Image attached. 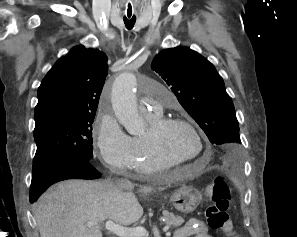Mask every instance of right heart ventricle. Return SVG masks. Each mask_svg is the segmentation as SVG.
I'll use <instances>...</instances> for the list:
<instances>
[{"instance_id": "1", "label": "right heart ventricle", "mask_w": 297, "mask_h": 237, "mask_svg": "<svg viewBox=\"0 0 297 237\" xmlns=\"http://www.w3.org/2000/svg\"><path fill=\"white\" fill-rule=\"evenodd\" d=\"M149 123L151 124L159 115L146 114ZM132 138V165L131 169L140 174H153L160 171H165L174 166L160 162L151 152L146 140L145 134Z\"/></svg>"}]
</instances>
